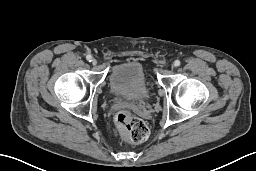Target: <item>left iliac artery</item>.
I'll use <instances>...</instances> for the list:
<instances>
[{
  "label": "left iliac artery",
  "instance_id": "44dca946",
  "mask_svg": "<svg viewBox=\"0 0 256 171\" xmlns=\"http://www.w3.org/2000/svg\"><path fill=\"white\" fill-rule=\"evenodd\" d=\"M174 64H175V66H179V65H180V61H179V60H176V61L174 62Z\"/></svg>",
  "mask_w": 256,
  "mask_h": 171
}]
</instances>
